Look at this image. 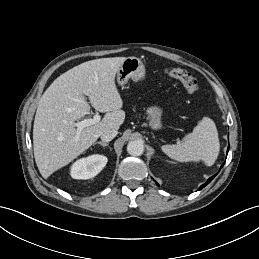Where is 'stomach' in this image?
<instances>
[{
    "instance_id": "obj_1",
    "label": "stomach",
    "mask_w": 259,
    "mask_h": 259,
    "mask_svg": "<svg viewBox=\"0 0 259 259\" xmlns=\"http://www.w3.org/2000/svg\"><path fill=\"white\" fill-rule=\"evenodd\" d=\"M145 77V66L143 62L137 57H128L122 63L117 72V82L119 85H125L129 79L136 81ZM150 125L153 129L161 127L162 110L157 106H152L147 109Z\"/></svg>"
}]
</instances>
